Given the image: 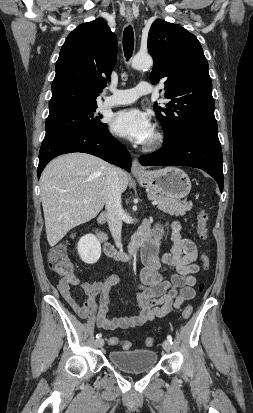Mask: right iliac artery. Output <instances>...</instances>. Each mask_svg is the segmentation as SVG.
<instances>
[{"mask_svg":"<svg viewBox=\"0 0 253 413\" xmlns=\"http://www.w3.org/2000/svg\"><path fill=\"white\" fill-rule=\"evenodd\" d=\"M102 335L100 334V333H98L97 335H96V338L98 339V338H100Z\"/></svg>","mask_w":253,"mask_h":413,"instance_id":"1","label":"right iliac artery"}]
</instances>
